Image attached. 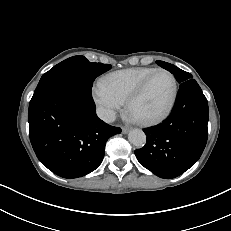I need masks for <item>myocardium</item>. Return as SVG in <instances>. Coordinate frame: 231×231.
Here are the masks:
<instances>
[{"instance_id": "obj_1", "label": "myocardium", "mask_w": 231, "mask_h": 231, "mask_svg": "<svg viewBox=\"0 0 231 231\" xmlns=\"http://www.w3.org/2000/svg\"><path fill=\"white\" fill-rule=\"evenodd\" d=\"M158 73H165L170 76L173 82V94L171 100L167 106V108L159 115L148 118V119H135L139 124L144 126H153L163 122L165 119L169 117L171 112L173 111L177 98H178V82L175 75L163 68L155 69L151 74H149L141 84L129 95L126 100V112L130 114V109L132 105L144 94L145 90L147 89L149 83L153 79V77Z\"/></svg>"}]
</instances>
